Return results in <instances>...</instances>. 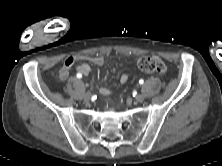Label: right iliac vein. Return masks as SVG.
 <instances>
[{
    "label": "right iliac vein",
    "instance_id": "63e3f726",
    "mask_svg": "<svg viewBox=\"0 0 222 166\" xmlns=\"http://www.w3.org/2000/svg\"><path fill=\"white\" fill-rule=\"evenodd\" d=\"M90 99H91V93H90V92H86V93L84 94V100H85V101H90Z\"/></svg>",
    "mask_w": 222,
    "mask_h": 166
}]
</instances>
